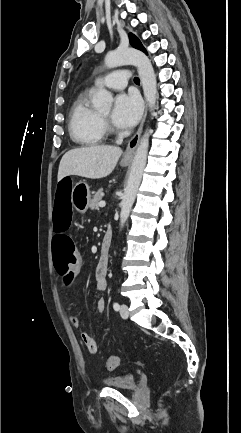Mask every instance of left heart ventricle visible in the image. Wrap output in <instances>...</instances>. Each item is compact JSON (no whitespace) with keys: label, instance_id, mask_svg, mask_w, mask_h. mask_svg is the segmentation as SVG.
Instances as JSON below:
<instances>
[{"label":"left heart ventricle","instance_id":"b2bd125f","mask_svg":"<svg viewBox=\"0 0 241 433\" xmlns=\"http://www.w3.org/2000/svg\"><path fill=\"white\" fill-rule=\"evenodd\" d=\"M101 115L104 116V117H106V118H108L109 115H110V112L106 111V112L101 113Z\"/></svg>","mask_w":241,"mask_h":433}]
</instances>
